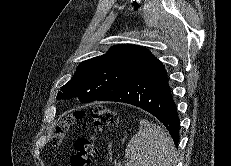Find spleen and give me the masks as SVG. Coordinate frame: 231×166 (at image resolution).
<instances>
[{
    "label": "spleen",
    "mask_w": 231,
    "mask_h": 166,
    "mask_svg": "<svg viewBox=\"0 0 231 166\" xmlns=\"http://www.w3.org/2000/svg\"><path fill=\"white\" fill-rule=\"evenodd\" d=\"M130 166H176V149L170 135L148 120H140L139 131L125 149Z\"/></svg>",
    "instance_id": "1"
}]
</instances>
